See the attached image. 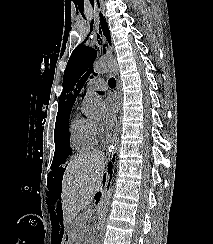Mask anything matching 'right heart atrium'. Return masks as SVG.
<instances>
[{"label": "right heart atrium", "instance_id": "d8ad5b80", "mask_svg": "<svg viewBox=\"0 0 213 244\" xmlns=\"http://www.w3.org/2000/svg\"><path fill=\"white\" fill-rule=\"evenodd\" d=\"M94 125H95L96 132H97L98 136L100 137L103 134V127L98 122H95Z\"/></svg>", "mask_w": 213, "mask_h": 244}]
</instances>
